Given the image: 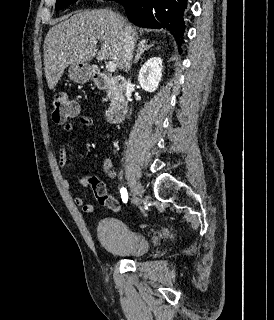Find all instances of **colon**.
<instances>
[{
  "label": "colon",
  "mask_w": 274,
  "mask_h": 320,
  "mask_svg": "<svg viewBox=\"0 0 274 320\" xmlns=\"http://www.w3.org/2000/svg\"><path fill=\"white\" fill-rule=\"evenodd\" d=\"M52 106V119L57 124H63L66 127H71L72 122L78 118V105L68 97L65 91H58L53 94ZM83 173L86 175L88 172L85 170ZM83 179L85 180L86 186H90V189H92L94 193H99L101 205L114 212L122 211L120 203L111 197V195L106 193V186H104L103 182L96 181L95 175H88Z\"/></svg>",
  "instance_id": "obj_1"
}]
</instances>
